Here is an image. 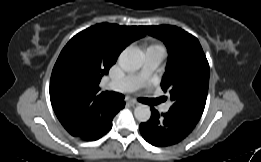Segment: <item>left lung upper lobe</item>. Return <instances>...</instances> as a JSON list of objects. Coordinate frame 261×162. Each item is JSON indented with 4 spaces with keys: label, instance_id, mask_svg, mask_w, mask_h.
Masks as SVG:
<instances>
[{
    "label": "left lung upper lobe",
    "instance_id": "left-lung-upper-lobe-1",
    "mask_svg": "<svg viewBox=\"0 0 261 162\" xmlns=\"http://www.w3.org/2000/svg\"><path fill=\"white\" fill-rule=\"evenodd\" d=\"M141 29L161 39L168 49L161 87L173 101L169 111L180 112L198 122L209 86V64L198 39L171 25L141 26Z\"/></svg>",
    "mask_w": 261,
    "mask_h": 162
}]
</instances>
